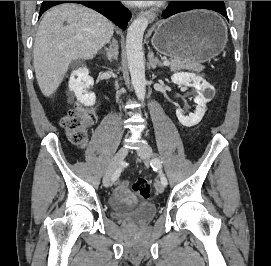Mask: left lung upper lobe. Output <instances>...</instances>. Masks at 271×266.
Returning a JSON list of instances; mask_svg holds the SVG:
<instances>
[{"label":"left lung upper lobe","mask_w":271,"mask_h":266,"mask_svg":"<svg viewBox=\"0 0 271 266\" xmlns=\"http://www.w3.org/2000/svg\"><path fill=\"white\" fill-rule=\"evenodd\" d=\"M207 6H213L219 9H226L224 1H198Z\"/></svg>","instance_id":"left-lung-upper-lobe-1"}]
</instances>
